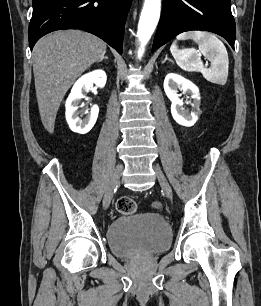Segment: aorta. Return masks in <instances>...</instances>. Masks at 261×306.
Here are the masks:
<instances>
[{"label":"aorta","mask_w":261,"mask_h":306,"mask_svg":"<svg viewBox=\"0 0 261 306\" xmlns=\"http://www.w3.org/2000/svg\"><path fill=\"white\" fill-rule=\"evenodd\" d=\"M161 11V0H145L138 23L137 37L140 42L138 57L141 58L145 51V46L150 40L158 24Z\"/></svg>","instance_id":"762f6f07"}]
</instances>
